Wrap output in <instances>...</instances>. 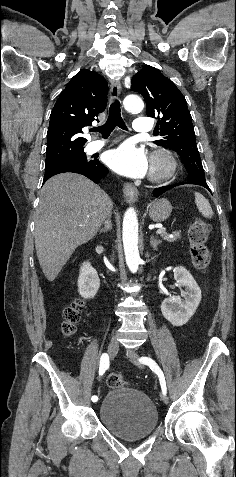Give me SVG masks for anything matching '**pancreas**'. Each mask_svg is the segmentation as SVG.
Wrapping results in <instances>:
<instances>
[{
  "instance_id": "pancreas-1",
  "label": "pancreas",
  "mask_w": 236,
  "mask_h": 477,
  "mask_svg": "<svg viewBox=\"0 0 236 477\" xmlns=\"http://www.w3.org/2000/svg\"><path fill=\"white\" fill-rule=\"evenodd\" d=\"M161 237L164 240H166L167 242H175V241H177L178 239L181 238V232L177 231V232H174L172 235H169L167 233H163V234H161Z\"/></svg>"
}]
</instances>
